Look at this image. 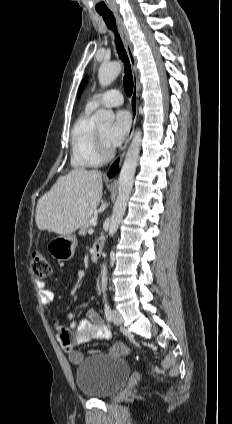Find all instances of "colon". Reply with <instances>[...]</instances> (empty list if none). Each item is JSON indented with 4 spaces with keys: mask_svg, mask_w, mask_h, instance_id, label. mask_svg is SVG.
Here are the masks:
<instances>
[{
    "mask_svg": "<svg viewBox=\"0 0 232 424\" xmlns=\"http://www.w3.org/2000/svg\"><path fill=\"white\" fill-rule=\"evenodd\" d=\"M31 268L33 275L37 278L50 279L52 277V266L46 256L40 250L34 251L32 255ZM113 343L115 349L120 350L122 348V352L125 354H128L131 349L129 344L122 338H119L116 342L114 341Z\"/></svg>",
    "mask_w": 232,
    "mask_h": 424,
    "instance_id": "5ec220e1",
    "label": "colon"
}]
</instances>
